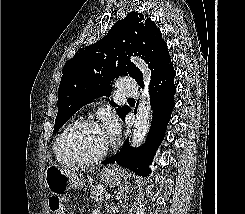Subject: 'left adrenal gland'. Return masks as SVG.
<instances>
[{
	"instance_id": "left-adrenal-gland-1",
	"label": "left adrenal gland",
	"mask_w": 245,
	"mask_h": 214,
	"mask_svg": "<svg viewBox=\"0 0 245 214\" xmlns=\"http://www.w3.org/2000/svg\"><path fill=\"white\" fill-rule=\"evenodd\" d=\"M129 191V186L125 185V186H121L117 189L116 193V199H120L123 195H125L126 193H128Z\"/></svg>"
}]
</instances>
